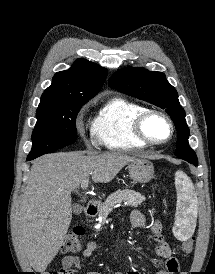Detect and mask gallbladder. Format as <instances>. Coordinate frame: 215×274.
Returning <instances> with one entry per match:
<instances>
[{
	"instance_id": "gallbladder-1",
	"label": "gallbladder",
	"mask_w": 215,
	"mask_h": 274,
	"mask_svg": "<svg viewBox=\"0 0 215 274\" xmlns=\"http://www.w3.org/2000/svg\"><path fill=\"white\" fill-rule=\"evenodd\" d=\"M82 206L80 205V204H74L73 205V211H74V213H81L82 212Z\"/></svg>"
}]
</instances>
